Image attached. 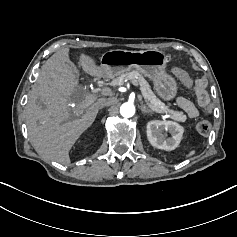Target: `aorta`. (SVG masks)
Returning <instances> with one entry per match:
<instances>
[{
	"label": "aorta",
	"instance_id": "1",
	"mask_svg": "<svg viewBox=\"0 0 237 237\" xmlns=\"http://www.w3.org/2000/svg\"><path fill=\"white\" fill-rule=\"evenodd\" d=\"M120 114L125 118H130L135 114V106L129 102L123 103L120 107Z\"/></svg>",
	"mask_w": 237,
	"mask_h": 237
}]
</instances>
